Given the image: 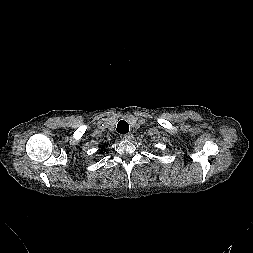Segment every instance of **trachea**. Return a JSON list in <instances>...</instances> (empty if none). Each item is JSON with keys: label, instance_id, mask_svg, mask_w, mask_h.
I'll return each instance as SVG.
<instances>
[{"label": "trachea", "instance_id": "trachea-1", "mask_svg": "<svg viewBox=\"0 0 253 253\" xmlns=\"http://www.w3.org/2000/svg\"><path fill=\"white\" fill-rule=\"evenodd\" d=\"M116 130L120 134H126L129 131V124L124 120H120L117 124Z\"/></svg>", "mask_w": 253, "mask_h": 253}]
</instances>
